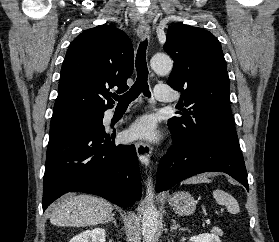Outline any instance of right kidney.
<instances>
[{
  "instance_id": "right-kidney-1",
  "label": "right kidney",
  "mask_w": 279,
  "mask_h": 242,
  "mask_svg": "<svg viewBox=\"0 0 279 242\" xmlns=\"http://www.w3.org/2000/svg\"><path fill=\"white\" fill-rule=\"evenodd\" d=\"M105 229L96 227L91 230H85L82 233L74 236L69 242H105Z\"/></svg>"
}]
</instances>
